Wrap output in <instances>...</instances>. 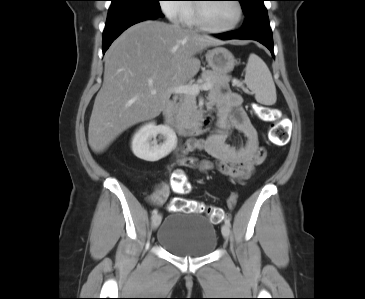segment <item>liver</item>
Instances as JSON below:
<instances>
[{
  "mask_svg": "<svg viewBox=\"0 0 365 299\" xmlns=\"http://www.w3.org/2000/svg\"><path fill=\"white\" fill-rule=\"evenodd\" d=\"M222 44L211 36L160 21L128 28L105 54L103 85L89 121L91 149L103 152L129 127L157 117L172 90L198 73L201 63L195 54Z\"/></svg>",
  "mask_w": 365,
  "mask_h": 299,
  "instance_id": "obj_1",
  "label": "liver"
}]
</instances>
